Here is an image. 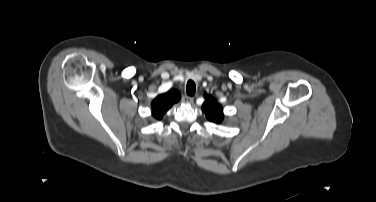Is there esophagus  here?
Segmentation results:
<instances>
[{
  "instance_id": "esophagus-1",
  "label": "esophagus",
  "mask_w": 376,
  "mask_h": 202,
  "mask_svg": "<svg viewBox=\"0 0 376 202\" xmlns=\"http://www.w3.org/2000/svg\"><path fill=\"white\" fill-rule=\"evenodd\" d=\"M193 98L192 97H190V96H187V95H184V96H182V101L184 102V103H186V104H191V103H193Z\"/></svg>"
}]
</instances>
